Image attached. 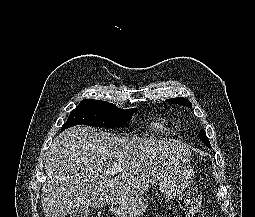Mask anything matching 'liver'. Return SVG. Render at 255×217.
<instances>
[{
    "label": "liver",
    "instance_id": "6515ba94",
    "mask_svg": "<svg viewBox=\"0 0 255 217\" xmlns=\"http://www.w3.org/2000/svg\"><path fill=\"white\" fill-rule=\"evenodd\" d=\"M190 159L185 144L119 137L87 126L69 128L49 146L44 215L65 217L80 205L101 208L135 199ZM115 164L122 168L116 177L107 174Z\"/></svg>",
    "mask_w": 255,
    "mask_h": 217
}]
</instances>
